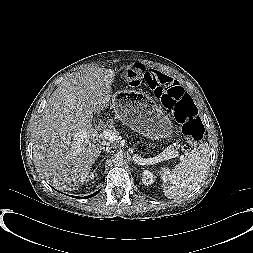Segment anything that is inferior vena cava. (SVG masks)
<instances>
[{
	"label": "inferior vena cava",
	"mask_w": 253,
	"mask_h": 253,
	"mask_svg": "<svg viewBox=\"0 0 253 253\" xmlns=\"http://www.w3.org/2000/svg\"><path fill=\"white\" fill-rule=\"evenodd\" d=\"M105 145H106V147H103V149H105L107 151V153H111L112 146L109 143H106Z\"/></svg>",
	"instance_id": "obj_1"
}]
</instances>
